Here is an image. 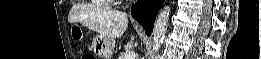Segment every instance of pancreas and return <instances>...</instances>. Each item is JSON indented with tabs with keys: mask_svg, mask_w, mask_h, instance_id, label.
I'll list each match as a JSON object with an SVG mask.
<instances>
[{
	"mask_svg": "<svg viewBox=\"0 0 261 59\" xmlns=\"http://www.w3.org/2000/svg\"><path fill=\"white\" fill-rule=\"evenodd\" d=\"M125 55H126V54H125L124 52H122L121 55H120V57H119V59H125Z\"/></svg>",
	"mask_w": 261,
	"mask_h": 59,
	"instance_id": "1",
	"label": "pancreas"
}]
</instances>
